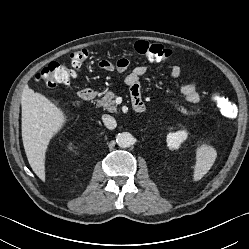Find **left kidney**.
I'll return each mask as SVG.
<instances>
[{
    "instance_id": "1",
    "label": "left kidney",
    "mask_w": 249,
    "mask_h": 249,
    "mask_svg": "<svg viewBox=\"0 0 249 249\" xmlns=\"http://www.w3.org/2000/svg\"><path fill=\"white\" fill-rule=\"evenodd\" d=\"M188 133L185 130H180L177 132H170L167 134V146L170 150L178 149L186 139Z\"/></svg>"
}]
</instances>
